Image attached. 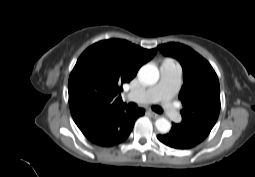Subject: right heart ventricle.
<instances>
[{
    "instance_id": "1",
    "label": "right heart ventricle",
    "mask_w": 255,
    "mask_h": 177,
    "mask_svg": "<svg viewBox=\"0 0 255 177\" xmlns=\"http://www.w3.org/2000/svg\"><path fill=\"white\" fill-rule=\"evenodd\" d=\"M163 64H169V65H172V66L176 67L175 63L172 60H170V59L164 60Z\"/></svg>"
}]
</instances>
